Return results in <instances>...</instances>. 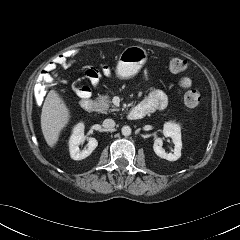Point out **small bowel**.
<instances>
[{"instance_id": "c3829d8e", "label": "small bowel", "mask_w": 240, "mask_h": 240, "mask_svg": "<svg viewBox=\"0 0 240 240\" xmlns=\"http://www.w3.org/2000/svg\"><path fill=\"white\" fill-rule=\"evenodd\" d=\"M59 67L66 68L67 66L60 62L58 57L52 59L45 68L38 75L37 81L39 83L54 84L57 77V69ZM102 75L106 77H111L113 72L111 68L107 65H101L99 69L93 68V73L89 77L90 83L93 87H97L100 83ZM149 73L147 70L144 71V77L148 78ZM179 85L186 89L191 86V80L187 77L180 79ZM78 94L83 98H88L91 96L92 92L88 86H83L80 89H77ZM168 104V97L165 92L162 90H153L147 97L138 104L141 110L145 112V115L152 113L157 110H163Z\"/></svg>"}]
</instances>
